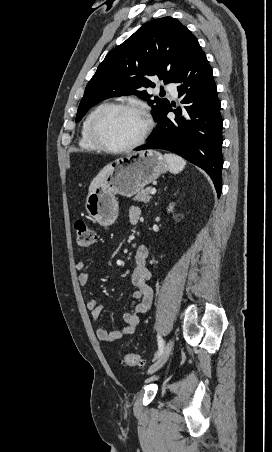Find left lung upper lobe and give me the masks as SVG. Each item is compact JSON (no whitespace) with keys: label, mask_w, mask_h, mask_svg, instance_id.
I'll list each match as a JSON object with an SVG mask.
<instances>
[{"label":"left lung upper lobe","mask_w":272,"mask_h":452,"mask_svg":"<svg viewBox=\"0 0 272 452\" xmlns=\"http://www.w3.org/2000/svg\"><path fill=\"white\" fill-rule=\"evenodd\" d=\"M196 37L178 20L163 17L141 26L125 42L111 50L86 86L78 107L76 122L97 103L114 96L136 94L149 99L141 87H154L150 80L158 76L165 84L178 76L197 43ZM155 120L169 101L149 100Z\"/></svg>","instance_id":"obj_1"}]
</instances>
